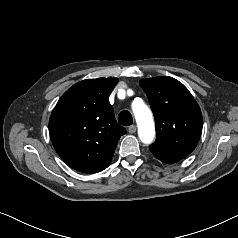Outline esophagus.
<instances>
[{"label": "esophagus", "mask_w": 238, "mask_h": 238, "mask_svg": "<svg viewBox=\"0 0 238 238\" xmlns=\"http://www.w3.org/2000/svg\"><path fill=\"white\" fill-rule=\"evenodd\" d=\"M128 132L131 133V134L135 133L136 132V126L135 125L129 126Z\"/></svg>", "instance_id": "esophagus-1"}]
</instances>
